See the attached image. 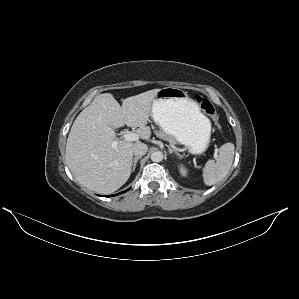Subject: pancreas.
Segmentation results:
<instances>
[{
  "label": "pancreas",
  "mask_w": 299,
  "mask_h": 299,
  "mask_svg": "<svg viewBox=\"0 0 299 299\" xmlns=\"http://www.w3.org/2000/svg\"><path fill=\"white\" fill-rule=\"evenodd\" d=\"M155 133H156V135H157L159 138L168 141L171 145H175V144H176V140H175L173 137H171V136L165 134L164 132H162V131H156Z\"/></svg>",
  "instance_id": "obj_1"
}]
</instances>
